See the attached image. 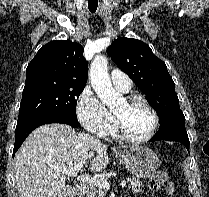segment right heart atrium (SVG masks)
I'll return each instance as SVG.
<instances>
[{
    "label": "right heart atrium",
    "instance_id": "1",
    "mask_svg": "<svg viewBox=\"0 0 209 197\" xmlns=\"http://www.w3.org/2000/svg\"><path fill=\"white\" fill-rule=\"evenodd\" d=\"M77 117L89 132L104 137L114 126L113 115L88 87L80 93L76 103Z\"/></svg>",
    "mask_w": 209,
    "mask_h": 197
}]
</instances>
